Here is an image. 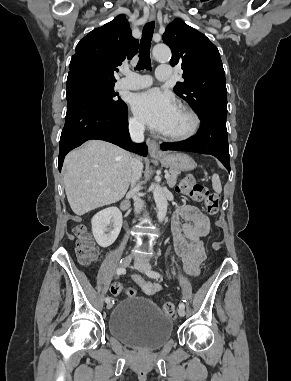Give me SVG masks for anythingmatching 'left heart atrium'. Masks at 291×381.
I'll use <instances>...</instances> for the list:
<instances>
[{"instance_id":"39dd6f15","label":"left heart atrium","mask_w":291,"mask_h":381,"mask_svg":"<svg viewBox=\"0 0 291 381\" xmlns=\"http://www.w3.org/2000/svg\"><path fill=\"white\" fill-rule=\"evenodd\" d=\"M132 110L149 127L165 132L172 121L178 105L174 98L157 89H151L133 96Z\"/></svg>"}]
</instances>
